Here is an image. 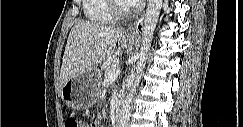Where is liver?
<instances>
[{"label": "liver", "mask_w": 243, "mask_h": 127, "mask_svg": "<svg viewBox=\"0 0 243 127\" xmlns=\"http://www.w3.org/2000/svg\"><path fill=\"white\" fill-rule=\"evenodd\" d=\"M124 28L98 23L77 22L70 31L64 51L60 85L83 71L110 59L116 44L125 34Z\"/></svg>", "instance_id": "6515ba94"}]
</instances>
